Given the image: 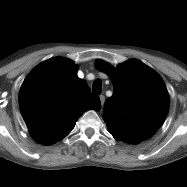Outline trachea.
Segmentation results:
<instances>
[{
  "instance_id": "obj_1",
  "label": "trachea",
  "mask_w": 187,
  "mask_h": 187,
  "mask_svg": "<svg viewBox=\"0 0 187 187\" xmlns=\"http://www.w3.org/2000/svg\"><path fill=\"white\" fill-rule=\"evenodd\" d=\"M92 92H93L94 94H101V92H102V82H101L100 79H96V80L93 82Z\"/></svg>"
}]
</instances>
